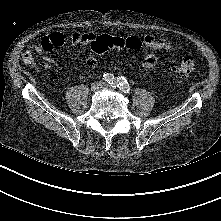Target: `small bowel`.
I'll return each mask as SVG.
<instances>
[{
    "label": "small bowel",
    "instance_id": "c3829d8e",
    "mask_svg": "<svg viewBox=\"0 0 221 221\" xmlns=\"http://www.w3.org/2000/svg\"><path fill=\"white\" fill-rule=\"evenodd\" d=\"M98 36L92 32H74L71 35V43L75 46L91 44ZM67 40L66 36L62 33H53L42 39V41L35 46V50L39 54H43V61L40 66L42 69L48 70L50 68L63 69L62 65L51 57L44 55L46 52L51 51L56 46H61ZM143 44L148 52L143 56L141 65L144 68H152L157 64L156 52L160 50L173 51L174 46L171 42L155 37L148 34L143 38ZM85 63L90 68L98 67V60L89 55L86 57Z\"/></svg>",
    "mask_w": 221,
    "mask_h": 221
}]
</instances>
